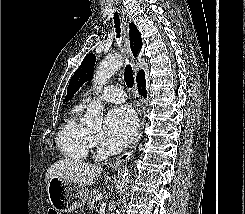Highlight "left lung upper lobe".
<instances>
[{"label":"left lung upper lobe","instance_id":"1","mask_svg":"<svg viewBox=\"0 0 245 214\" xmlns=\"http://www.w3.org/2000/svg\"><path fill=\"white\" fill-rule=\"evenodd\" d=\"M95 64V55L90 53L82 61L79 68L75 71L73 77L70 80L67 94L63 103L68 101L74 96V93L89 79L93 76Z\"/></svg>","mask_w":245,"mask_h":214}]
</instances>
